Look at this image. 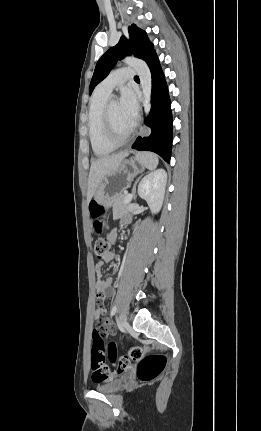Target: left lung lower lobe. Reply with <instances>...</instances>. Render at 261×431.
Returning a JSON list of instances; mask_svg holds the SVG:
<instances>
[{
    "mask_svg": "<svg viewBox=\"0 0 261 431\" xmlns=\"http://www.w3.org/2000/svg\"><path fill=\"white\" fill-rule=\"evenodd\" d=\"M152 75L151 111L145 124L151 128L146 137H138L132 148L152 151L170 162L172 149V113L164 74L154 52L146 61Z\"/></svg>",
    "mask_w": 261,
    "mask_h": 431,
    "instance_id": "left-lung-lower-lobe-1",
    "label": "left lung lower lobe"
}]
</instances>
